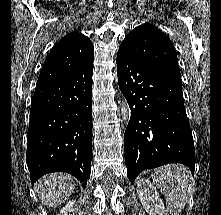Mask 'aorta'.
Wrapping results in <instances>:
<instances>
[{"label":"aorta","mask_w":221,"mask_h":215,"mask_svg":"<svg viewBox=\"0 0 221 215\" xmlns=\"http://www.w3.org/2000/svg\"><path fill=\"white\" fill-rule=\"evenodd\" d=\"M121 111H122L123 117L126 118L128 114V108H126V106L123 105L121 108Z\"/></svg>","instance_id":"obj_1"}]
</instances>
